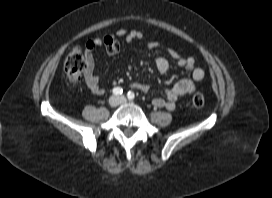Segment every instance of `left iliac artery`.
Masks as SVG:
<instances>
[{"mask_svg": "<svg viewBox=\"0 0 272 198\" xmlns=\"http://www.w3.org/2000/svg\"><path fill=\"white\" fill-rule=\"evenodd\" d=\"M127 97H128L129 100H133L135 95H134L133 92L129 91L128 94H127Z\"/></svg>", "mask_w": 272, "mask_h": 198, "instance_id": "left-iliac-artery-1", "label": "left iliac artery"}]
</instances>
